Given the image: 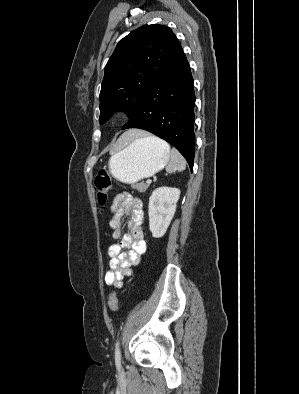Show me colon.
Returning <instances> with one entry per match:
<instances>
[{"label":"colon","mask_w":299,"mask_h":394,"mask_svg":"<svg viewBox=\"0 0 299 394\" xmlns=\"http://www.w3.org/2000/svg\"><path fill=\"white\" fill-rule=\"evenodd\" d=\"M94 187L96 189L97 200L100 205H105L109 198L111 187V178L105 169H102L94 178ZM109 307L112 312L118 310V299L115 291L109 296Z\"/></svg>","instance_id":"5ec220e1"}]
</instances>
